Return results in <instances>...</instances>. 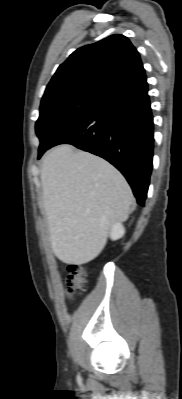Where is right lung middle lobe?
I'll return each mask as SVG.
<instances>
[{"label": "right lung middle lobe", "instance_id": "right-lung-middle-lobe-1", "mask_svg": "<svg viewBox=\"0 0 182 399\" xmlns=\"http://www.w3.org/2000/svg\"><path fill=\"white\" fill-rule=\"evenodd\" d=\"M105 98L91 94H71L41 101L36 134L40 139L38 158L49 148L56 135L101 106Z\"/></svg>", "mask_w": 182, "mask_h": 399}]
</instances>
